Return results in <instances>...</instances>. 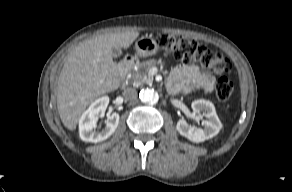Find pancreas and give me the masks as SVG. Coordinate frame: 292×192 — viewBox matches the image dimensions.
Returning a JSON list of instances; mask_svg holds the SVG:
<instances>
[{"label": "pancreas", "instance_id": "cf45deb5", "mask_svg": "<svg viewBox=\"0 0 292 192\" xmlns=\"http://www.w3.org/2000/svg\"><path fill=\"white\" fill-rule=\"evenodd\" d=\"M160 63V60H147L139 63L137 69L131 72V82L136 85L143 83L151 84L153 82V76L149 75L148 72Z\"/></svg>", "mask_w": 292, "mask_h": 192}]
</instances>
